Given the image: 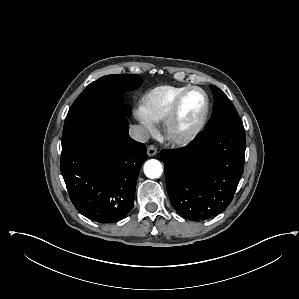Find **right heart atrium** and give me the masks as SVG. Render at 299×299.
Segmentation results:
<instances>
[{
    "instance_id": "1",
    "label": "right heart atrium",
    "mask_w": 299,
    "mask_h": 299,
    "mask_svg": "<svg viewBox=\"0 0 299 299\" xmlns=\"http://www.w3.org/2000/svg\"><path fill=\"white\" fill-rule=\"evenodd\" d=\"M138 119L148 132L153 130L152 124L146 118H144L141 113H138Z\"/></svg>"
}]
</instances>
